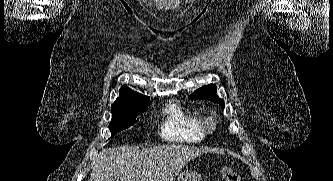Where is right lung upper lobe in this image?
Returning a JSON list of instances; mask_svg holds the SVG:
<instances>
[{
  "label": "right lung upper lobe",
  "mask_w": 333,
  "mask_h": 181,
  "mask_svg": "<svg viewBox=\"0 0 333 181\" xmlns=\"http://www.w3.org/2000/svg\"><path fill=\"white\" fill-rule=\"evenodd\" d=\"M150 98L141 95L127 86L120 89V95L111 105L112 112L150 105Z\"/></svg>",
  "instance_id": "1"
}]
</instances>
